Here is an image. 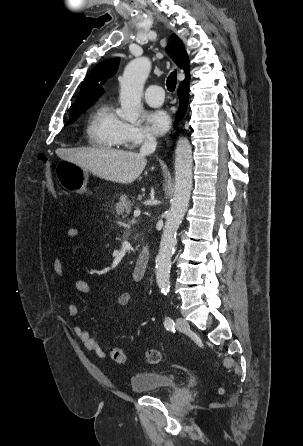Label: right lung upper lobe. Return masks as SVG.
Returning <instances> with one entry per match:
<instances>
[{"label":"right lung upper lobe","mask_w":303,"mask_h":446,"mask_svg":"<svg viewBox=\"0 0 303 446\" xmlns=\"http://www.w3.org/2000/svg\"><path fill=\"white\" fill-rule=\"evenodd\" d=\"M167 51L172 56L176 64L186 73L185 80L183 82L190 80L188 55L184 50L182 41L175 34L170 37ZM118 66V58L105 60L97 64L92 69L91 75L86 76L81 86L80 93L76 98L73 109L95 103L104 92L100 84L111 78L117 72Z\"/></svg>","instance_id":"cb5924a9"}]
</instances>
